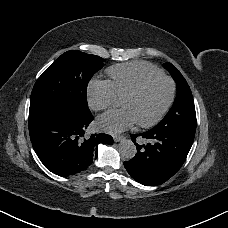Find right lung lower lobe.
Wrapping results in <instances>:
<instances>
[{
	"label": "right lung lower lobe",
	"mask_w": 228,
	"mask_h": 228,
	"mask_svg": "<svg viewBox=\"0 0 228 228\" xmlns=\"http://www.w3.org/2000/svg\"><path fill=\"white\" fill-rule=\"evenodd\" d=\"M93 120L73 119L57 112L29 114V133L33 148L52 173L69 176L85 170L97 156V145L113 144L105 133L88 135Z\"/></svg>",
	"instance_id": "1"
}]
</instances>
